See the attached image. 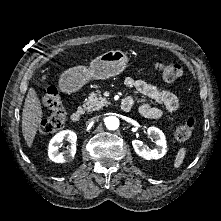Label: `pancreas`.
<instances>
[{
    "instance_id": "cf45deb5",
    "label": "pancreas",
    "mask_w": 221,
    "mask_h": 221,
    "mask_svg": "<svg viewBox=\"0 0 221 221\" xmlns=\"http://www.w3.org/2000/svg\"><path fill=\"white\" fill-rule=\"evenodd\" d=\"M109 104L108 100L102 97L101 92L97 90L89 94L86 103L84 104V109L86 111H96L100 110L104 106Z\"/></svg>"
}]
</instances>
